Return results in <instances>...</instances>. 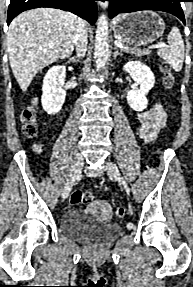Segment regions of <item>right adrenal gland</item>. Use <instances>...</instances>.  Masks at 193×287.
I'll return each mask as SVG.
<instances>
[{"instance_id":"right-adrenal-gland-1","label":"right adrenal gland","mask_w":193,"mask_h":287,"mask_svg":"<svg viewBox=\"0 0 193 287\" xmlns=\"http://www.w3.org/2000/svg\"><path fill=\"white\" fill-rule=\"evenodd\" d=\"M80 56H73L69 59L70 62L76 63L79 61Z\"/></svg>"}]
</instances>
